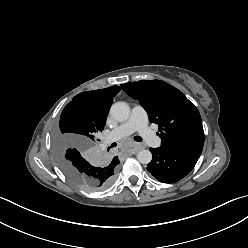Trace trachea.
I'll list each match as a JSON object with an SVG mask.
<instances>
[{
    "instance_id": "obj_1",
    "label": "trachea",
    "mask_w": 248,
    "mask_h": 248,
    "mask_svg": "<svg viewBox=\"0 0 248 248\" xmlns=\"http://www.w3.org/2000/svg\"><path fill=\"white\" fill-rule=\"evenodd\" d=\"M134 140L137 141V142H141L142 141V138L140 136H135L134 137Z\"/></svg>"
}]
</instances>
